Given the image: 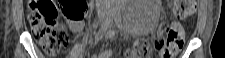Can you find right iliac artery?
Returning a JSON list of instances; mask_svg holds the SVG:
<instances>
[{
	"instance_id": "right-iliac-artery-1",
	"label": "right iliac artery",
	"mask_w": 225,
	"mask_h": 58,
	"mask_svg": "<svg viewBox=\"0 0 225 58\" xmlns=\"http://www.w3.org/2000/svg\"><path fill=\"white\" fill-rule=\"evenodd\" d=\"M110 22H111V17L106 19L105 23L101 26V28L95 35V43L99 42L104 37V35L106 34L109 28Z\"/></svg>"
}]
</instances>
